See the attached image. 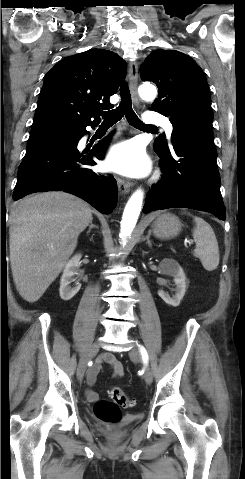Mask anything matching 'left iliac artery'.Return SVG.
Segmentation results:
<instances>
[{"label":"left iliac artery","instance_id":"44dca946","mask_svg":"<svg viewBox=\"0 0 245 479\" xmlns=\"http://www.w3.org/2000/svg\"><path fill=\"white\" fill-rule=\"evenodd\" d=\"M139 349H140V352H141V355H142V358H143L144 362H148V354H147L146 349L141 345H139Z\"/></svg>","mask_w":245,"mask_h":479}]
</instances>
